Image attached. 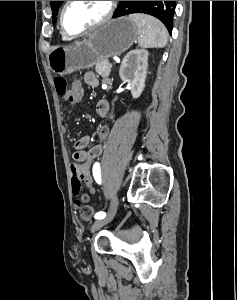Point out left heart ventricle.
I'll return each instance as SVG.
<instances>
[{"instance_id": "1", "label": "left heart ventricle", "mask_w": 237, "mask_h": 300, "mask_svg": "<svg viewBox=\"0 0 237 300\" xmlns=\"http://www.w3.org/2000/svg\"><path fill=\"white\" fill-rule=\"evenodd\" d=\"M106 11L107 1H72L65 12V28L76 34L99 21Z\"/></svg>"}]
</instances>
